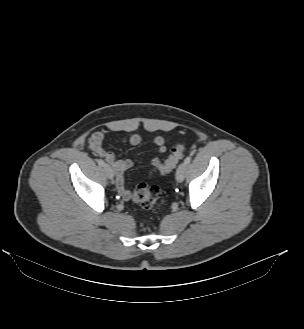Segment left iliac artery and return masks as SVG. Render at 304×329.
Masks as SVG:
<instances>
[{
    "instance_id": "44dca946",
    "label": "left iliac artery",
    "mask_w": 304,
    "mask_h": 329,
    "mask_svg": "<svg viewBox=\"0 0 304 329\" xmlns=\"http://www.w3.org/2000/svg\"><path fill=\"white\" fill-rule=\"evenodd\" d=\"M190 161H191V157L188 156V157L185 158L184 163H185V164H189Z\"/></svg>"
}]
</instances>
